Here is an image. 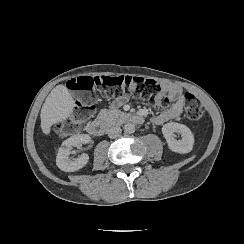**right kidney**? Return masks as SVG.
<instances>
[{"mask_svg": "<svg viewBox=\"0 0 244 244\" xmlns=\"http://www.w3.org/2000/svg\"><path fill=\"white\" fill-rule=\"evenodd\" d=\"M89 141L90 137L88 135H74L65 140L56 158L58 168L63 172H75L85 167L89 162L88 155L82 154L73 161L70 159V153L74 145L79 146L81 143L86 144Z\"/></svg>", "mask_w": 244, "mask_h": 244, "instance_id": "right-kidney-1", "label": "right kidney"}]
</instances>
